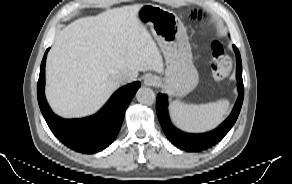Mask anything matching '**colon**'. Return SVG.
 I'll use <instances>...</instances> for the list:
<instances>
[{"instance_id":"1","label":"colon","mask_w":292,"mask_h":184,"mask_svg":"<svg viewBox=\"0 0 292 184\" xmlns=\"http://www.w3.org/2000/svg\"><path fill=\"white\" fill-rule=\"evenodd\" d=\"M218 57L219 65L215 72V77L217 79H223L229 72L230 64L225 55H219Z\"/></svg>"}]
</instances>
